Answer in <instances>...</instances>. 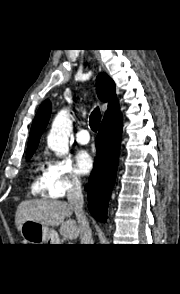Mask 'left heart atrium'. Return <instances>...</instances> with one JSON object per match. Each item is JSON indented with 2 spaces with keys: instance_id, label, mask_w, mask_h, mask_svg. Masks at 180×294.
<instances>
[{
  "instance_id": "1",
  "label": "left heart atrium",
  "mask_w": 180,
  "mask_h": 294,
  "mask_svg": "<svg viewBox=\"0 0 180 294\" xmlns=\"http://www.w3.org/2000/svg\"><path fill=\"white\" fill-rule=\"evenodd\" d=\"M93 167V158L85 150H81L77 153L75 157V169L80 175L88 174Z\"/></svg>"
}]
</instances>
